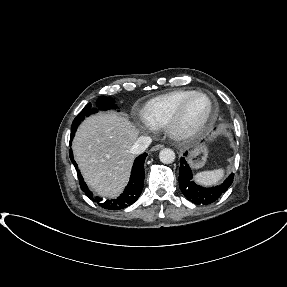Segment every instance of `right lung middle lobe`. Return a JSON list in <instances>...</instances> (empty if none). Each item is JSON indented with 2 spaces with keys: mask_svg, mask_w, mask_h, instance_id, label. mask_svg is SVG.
Listing matches in <instances>:
<instances>
[{
  "mask_svg": "<svg viewBox=\"0 0 287 287\" xmlns=\"http://www.w3.org/2000/svg\"><path fill=\"white\" fill-rule=\"evenodd\" d=\"M98 107L107 110L108 108H116L114 105V100L111 98H101L97 101ZM98 110L96 108H92L91 103H88L83 110L77 115L74 119L72 126H71V133L76 132L77 127L79 126L80 122L92 113H96Z\"/></svg>",
  "mask_w": 287,
  "mask_h": 287,
  "instance_id": "1",
  "label": "right lung middle lobe"
}]
</instances>
